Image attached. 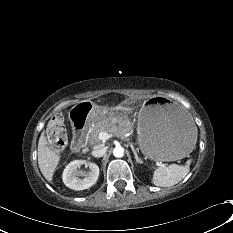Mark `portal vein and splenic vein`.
Instances as JSON below:
<instances>
[{"mask_svg":"<svg viewBox=\"0 0 233 233\" xmlns=\"http://www.w3.org/2000/svg\"><path fill=\"white\" fill-rule=\"evenodd\" d=\"M110 137H112V135L108 134L107 132H100L99 135H98V138L102 141H106L108 140Z\"/></svg>","mask_w":233,"mask_h":233,"instance_id":"portal-vein-and-splenic-vein-1","label":"portal vein and splenic vein"}]
</instances>
